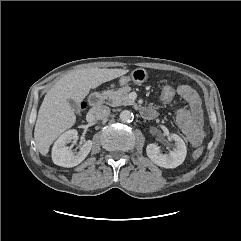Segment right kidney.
Wrapping results in <instances>:
<instances>
[{"mask_svg": "<svg viewBox=\"0 0 241 241\" xmlns=\"http://www.w3.org/2000/svg\"><path fill=\"white\" fill-rule=\"evenodd\" d=\"M78 132L75 129L63 133L54 143L52 148V160L54 164L62 167H74L80 164L89 154L92 141L83 143L78 153H73L67 146L72 140L77 139Z\"/></svg>", "mask_w": 241, "mask_h": 241, "instance_id": "ca27d5eb", "label": "right kidney"}]
</instances>
